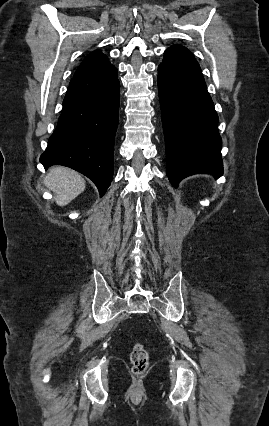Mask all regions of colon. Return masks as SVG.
<instances>
[{
    "label": "colon",
    "instance_id": "obj_1",
    "mask_svg": "<svg viewBox=\"0 0 269 426\" xmlns=\"http://www.w3.org/2000/svg\"><path fill=\"white\" fill-rule=\"evenodd\" d=\"M132 371L135 374H142L148 367L149 355L146 349L137 344L131 354Z\"/></svg>",
    "mask_w": 269,
    "mask_h": 426
}]
</instances>
